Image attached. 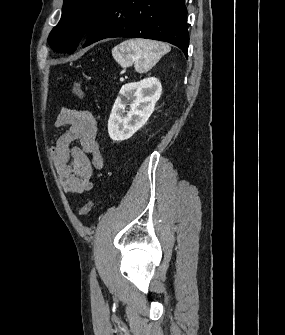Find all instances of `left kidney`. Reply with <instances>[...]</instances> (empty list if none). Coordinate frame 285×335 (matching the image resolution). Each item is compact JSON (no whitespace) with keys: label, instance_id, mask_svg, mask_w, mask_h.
<instances>
[{"label":"left kidney","instance_id":"1","mask_svg":"<svg viewBox=\"0 0 285 335\" xmlns=\"http://www.w3.org/2000/svg\"><path fill=\"white\" fill-rule=\"evenodd\" d=\"M161 94L162 86L157 78H145L141 82L124 84L108 120L110 138L114 142L128 140L137 130L145 126ZM130 100H133L131 104H129ZM126 106H130L129 112Z\"/></svg>","mask_w":285,"mask_h":335}]
</instances>
